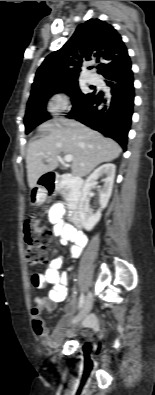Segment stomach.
Listing matches in <instances>:
<instances>
[{"label": "stomach", "mask_w": 155, "mask_h": 395, "mask_svg": "<svg viewBox=\"0 0 155 395\" xmlns=\"http://www.w3.org/2000/svg\"><path fill=\"white\" fill-rule=\"evenodd\" d=\"M46 198L45 190L40 187H34L30 193V202L32 205H39Z\"/></svg>", "instance_id": "obj_1"}]
</instances>
